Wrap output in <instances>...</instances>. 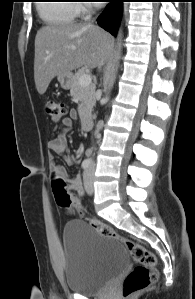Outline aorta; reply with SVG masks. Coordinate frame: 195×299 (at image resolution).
Instances as JSON below:
<instances>
[{
  "label": "aorta",
  "mask_w": 195,
  "mask_h": 299,
  "mask_svg": "<svg viewBox=\"0 0 195 299\" xmlns=\"http://www.w3.org/2000/svg\"><path fill=\"white\" fill-rule=\"evenodd\" d=\"M121 47H122V44H121V34L119 35V38H118V42H117V50H116V53H115V60H114V65H113V79H115V75H116V72H117V68H118V63H119V60H120V57H121Z\"/></svg>",
  "instance_id": "aorta-1"
}]
</instances>
